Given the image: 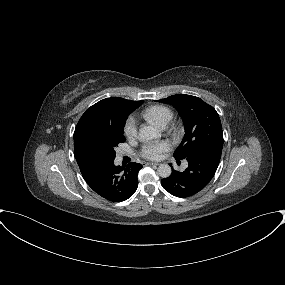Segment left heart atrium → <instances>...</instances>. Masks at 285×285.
Instances as JSON below:
<instances>
[{"instance_id": "obj_1", "label": "left heart atrium", "mask_w": 285, "mask_h": 285, "mask_svg": "<svg viewBox=\"0 0 285 285\" xmlns=\"http://www.w3.org/2000/svg\"><path fill=\"white\" fill-rule=\"evenodd\" d=\"M170 148L167 142L147 143L142 149V156L147 159L157 160Z\"/></svg>"}]
</instances>
